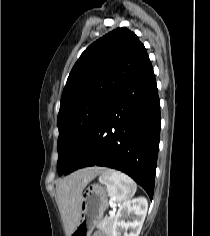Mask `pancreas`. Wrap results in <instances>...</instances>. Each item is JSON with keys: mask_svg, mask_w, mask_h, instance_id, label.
Instances as JSON below:
<instances>
[{"mask_svg": "<svg viewBox=\"0 0 210 236\" xmlns=\"http://www.w3.org/2000/svg\"><path fill=\"white\" fill-rule=\"evenodd\" d=\"M115 216H105L98 224L99 229L103 230L106 234H109L112 230V225Z\"/></svg>", "mask_w": 210, "mask_h": 236, "instance_id": "1", "label": "pancreas"}]
</instances>
